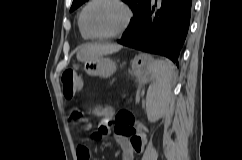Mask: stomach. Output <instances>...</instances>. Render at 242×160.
I'll use <instances>...</instances> for the list:
<instances>
[{
  "instance_id": "1",
  "label": "stomach",
  "mask_w": 242,
  "mask_h": 160,
  "mask_svg": "<svg viewBox=\"0 0 242 160\" xmlns=\"http://www.w3.org/2000/svg\"><path fill=\"white\" fill-rule=\"evenodd\" d=\"M150 58L148 55L141 54L132 61V71L140 83L149 81L152 76L149 70ZM84 70L90 76L109 78L116 70V64L108 57H97L84 62Z\"/></svg>"
}]
</instances>
